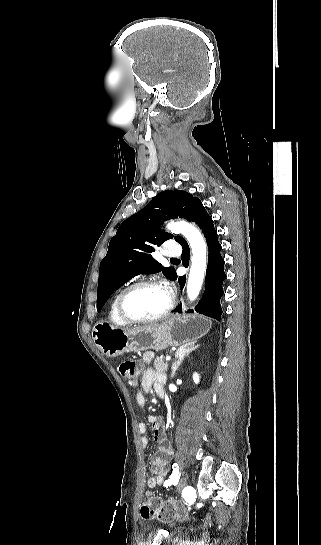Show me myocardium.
<instances>
[{"label": "myocardium", "instance_id": "obj_1", "mask_svg": "<svg viewBox=\"0 0 321 545\" xmlns=\"http://www.w3.org/2000/svg\"><path fill=\"white\" fill-rule=\"evenodd\" d=\"M140 288L162 289V290L166 291L168 293V295H169V305H168L167 309L164 312H162L161 314L150 317V318L139 319V320H134V319L129 318L127 316V314L125 313V311H124V307H123L124 299H125L126 295L129 292H131L133 290H136V289H140ZM174 307H175V298H174V294L172 293V291L168 287L163 285L162 283H160L158 281H154V280L138 281V282H135L133 284L128 285L127 287H125L124 289H122L120 291V293L117 296V301H116L117 314H118L119 318L121 319V321L123 323H125L126 325H128V326H141V325H146V324L159 322V321L165 319L172 312Z\"/></svg>", "mask_w": 321, "mask_h": 545}]
</instances>
